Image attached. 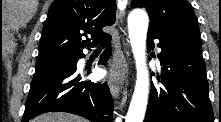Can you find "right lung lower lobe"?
<instances>
[{
  "label": "right lung lower lobe",
  "mask_w": 221,
  "mask_h": 122,
  "mask_svg": "<svg viewBox=\"0 0 221 122\" xmlns=\"http://www.w3.org/2000/svg\"><path fill=\"white\" fill-rule=\"evenodd\" d=\"M106 50L98 64L106 65L111 54L110 36L100 41ZM34 75L25 105L22 122L45 112H69L91 122H112L113 99L107 83L80 81L76 63Z\"/></svg>",
  "instance_id": "right-lung-lower-lobe-1"
}]
</instances>
